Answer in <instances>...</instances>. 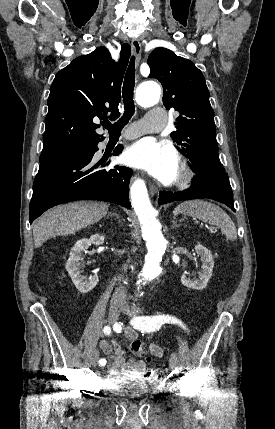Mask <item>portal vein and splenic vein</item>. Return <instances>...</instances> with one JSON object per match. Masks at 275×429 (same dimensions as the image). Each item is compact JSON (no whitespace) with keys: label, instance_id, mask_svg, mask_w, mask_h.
<instances>
[{"label":"portal vein and splenic vein","instance_id":"portal-vein-and-splenic-vein-1","mask_svg":"<svg viewBox=\"0 0 275 429\" xmlns=\"http://www.w3.org/2000/svg\"><path fill=\"white\" fill-rule=\"evenodd\" d=\"M212 229H213V230H216V228H215V227H212Z\"/></svg>","mask_w":275,"mask_h":429}]
</instances>
